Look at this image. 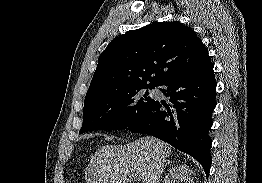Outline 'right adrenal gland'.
Listing matches in <instances>:
<instances>
[{"label": "right adrenal gland", "mask_w": 262, "mask_h": 183, "mask_svg": "<svg viewBox=\"0 0 262 183\" xmlns=\"http://www.w3.org/2000/svg\"><path fill=\"white\" fill-rule=\"evenodd\" d=\"M169 163H170V161L168 160V162L166 164H169Z\"/></svg>", "instance_id": "right-adrenal-gland-1"}]
</instances>
